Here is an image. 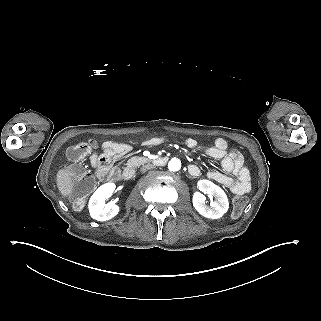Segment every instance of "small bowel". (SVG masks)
Listing matches in <instances>:
<instances>
[{
    "mask_svg": "<svg viewBox=\"0 0 321 321\" xmlns=\"http://www.w3.org/2000/svg\"><path fill=\"white\" fill-rule=\"evenodd\" d=\"M163 142L161 137H151L144 144L147 146H157ZM187 147L191 149L198 148L210 158L220 161L224 172L232 174V177L219 172L209 171V179L216 181L235 194H244L251 189V177L249 170L244 165V159L241 153L236 150H229L228 144L224 139H217L212 146L198 145L197 142L188 138ZM131 150V145L125 142L105 141L102 144V150L99 154L94 153L91 156V163L95 168L96 174L100 178L111 177L116 170L113 164ZM189 174L196 177L200 174V169L196 165H190Z\"/></svg>",
    "mask_w": 321,
    "mask_h": 321,
    "instance_id": "obj_1",
    "label": "small bowel"
}]
</instances>
